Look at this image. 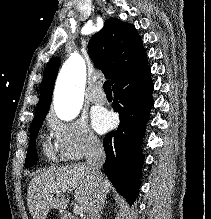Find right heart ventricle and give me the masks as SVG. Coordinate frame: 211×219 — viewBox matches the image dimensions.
<instances>
[{
	"instance_id": "1",
	"label": "right heart ventricle",
	"mask_w": 211,
	"mask_h": 219,
	"mask_svg": "<svg viewBox=\"0 0 211 219\" xmlns=\"http://www.w3.org/2000/svg\"><path fill=\"white\" fill-rule=\"evenodd\" d=\"M43 151L48 158L55 159V152L49 144L45 143L43 145Z\"/></svg>"
}]
</instances>
